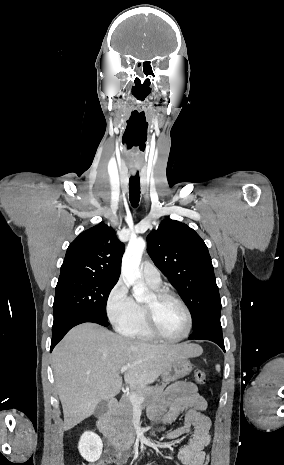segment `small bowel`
Instances as JSON below:
<instances>
[{
  "instance_id": "1",
  "label": "small bowel",
  "mask_w": 284,
  "mask_h": 465,
  "mask_svg": "<svg viewBox=\"0 0 284 465\" xmlns=\"http://www.w3.org/2000/svg\"><path fill=\"white\" fill-rule=\"evenodd\" d=\"M207 402L199 394L197 386L188 381H178L168 386L157 401L149 408L148 418L152 427L167 425L174 422L184 411L183 423L167 434V439L176 440L192 434L177 452L176 458L181 465H203L204 449L211 442V421L204 414ZM130 456L128 449L117 453L119 460L124 461ZM113 455L105 451L97 465H109Z\"/></svg>"
}]
</instances>
